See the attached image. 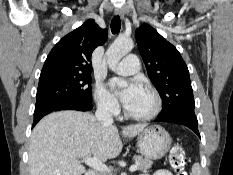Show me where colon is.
<instances>
[{"label": "colon", "mask_w": 233, "mask_h": 175, "mask_svg": "<svg viewBox=\"0 0 233 175\" xmlns=\"http://www.w3.org/2000/svg\"><path fill=\"white\" fill-rule=\"evenodd\" d=\"M186 149L181 142H176L169 154V164L176 175H187L185 171Z\"/></svg>", "instance_id": "1"}]
</instances>
